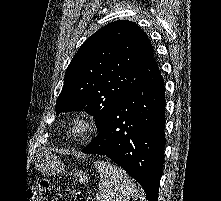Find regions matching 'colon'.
<instances>
[{
	"instance_id": "1",
	"label": "colon",
	"mask_w": 221,
	"mask_h": 201,
	"mask_svg": "<svg viewBox=\"0 0 221 201\" xmlns=\"http://www.w3.org/2000/svg\"><path fill=\"white\" fill-rule=\"evenodd\" d=\"M56 190L51 186L50 182L46 179L40 180L37 186L27 189L25 201H42L54 200Z\"/></svg>"
}]
</instances>
